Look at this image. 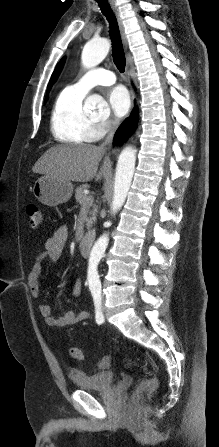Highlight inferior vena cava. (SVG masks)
Listing matches in <instances>:
<instances>
[{"label":"inferior vena cava","mask_w":219,"mask_h":447,"mask_svg":"<svg viewBox=\"0 0 219 447\" xmlns=\"http://www.w3.org/2000/svg\"><path fill=\"white\" fill-rule=\"evenodd\" d=\"M118 124H119V120L118 119L113 121L112 126H111V128L109 130V133H108L105 141L100 145L101 148L106 149V146L110 145L112 143V140H113V137H114V134H115V131H116V128H117Z\"/></svg>","instance_id":"obj_1"}]
</instances>
